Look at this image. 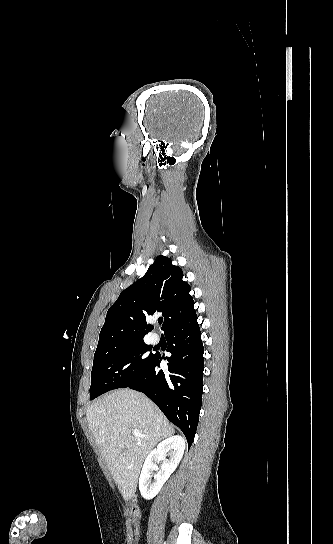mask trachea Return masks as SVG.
Listing matches in <instances>:
<instances>
[{"instance_id": "3493384b", "label": "trachea", "mask_w": 333, "mask_h": 544, "mask_svg": "<svg viewBox=\"0 0 333 544\" xmlns=\"http://www.w3.org/2000/svg\"><path fill=\"white\" fill-rule=\"evenodd\" d=\"M162 322H163V318L160 317V318L158 319V323L161 324Z\"/></svg>"}]
</instances>
